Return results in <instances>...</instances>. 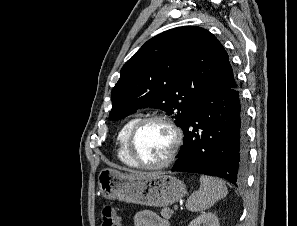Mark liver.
I'll use <instances>...</instances> for the list:
<instances>
[{
    "instance_id": "obj_1",
    "label": "liver",
    "mask_w": 297,
    "mask_h": 226,
    "mask_svg": "<svg viewBox=\"0 0 297 226\" xmlns=\"http://www.w3.org/2000/svg\"><path fill=\"white\" fill-rule=\"evenodd\" d=\"M126 175H128V176H138V177L146 176L143 173H133V174H126ZM147 175H152V174H147Z\"/></svg>"
}]
</instances>
